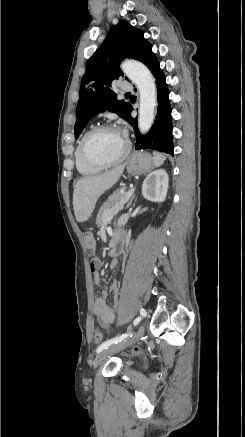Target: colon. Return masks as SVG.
<instances>
[{"label": "colon", "mask_w": 245, "mask_h": 437, "mask_svg": "<svg viewBox=\"0 0 245 437\" xmlns=\"http://www.w3.org/2000/svg\"><path fill=\"white\" fill-rule=\"evenodd\" d=\"M86 246H87L88 250H90L92 252L96 248V241H95L94 237L89 233L86 235ZM93 338H94L95 343H97V344H99L103 340V334H102L100 329H98V328L95 329ZM132 353L133 354H140V353H142V350L139 348H135L134 350H132Z\"/></svg>", "instance_id": "5ec220e1"}]
</instances>
